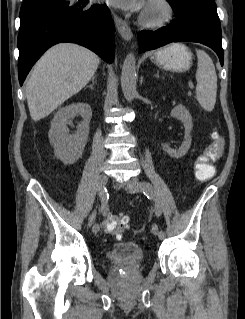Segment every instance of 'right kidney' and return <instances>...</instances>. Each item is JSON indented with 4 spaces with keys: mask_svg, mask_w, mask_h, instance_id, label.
<instances>
[{
    "mask_svg": "<svg viewBox=\"0 0 245 319\" xmlns=\"http://www.w3.org/2000/svg\"><path fill=\"white\" fill-rule=\"evenodd\" d=\"M78 114L83 121L78 124L77 132L70 134L67 124ZM91 117L92 109L86 103H73L55 114L48 136L55 156L64 164H73L82 156L88 140Z\"/></svg>",
    "mask_w": 245,
    "mask_h": 319,
    "instance_id": "obj_1",
    "label": "right kidney"
}]
</instances>
